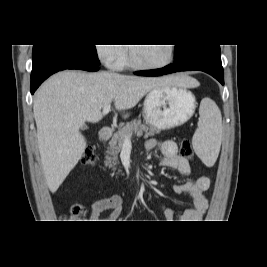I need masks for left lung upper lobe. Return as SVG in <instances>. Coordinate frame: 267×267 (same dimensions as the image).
Listing matches in <instances>:
<instances>
[{"instance_id":"left-lung-upper-lobe-1","label":"left lung upper lobe","mask_w":267,"mask_h":267,"mask_svg":"<svg viewBox=\"0 0 267 267\" xmlns=\"http://www.w3.org/2000/svg\"><path fill=\"white\" fill-rule=\"evenodd\" d=\"M202 45H176L174 54L176 57V62L181 61L184 57L193 49Z\"/></svg>"}]
</instances>
